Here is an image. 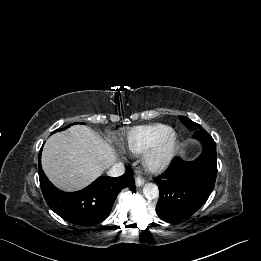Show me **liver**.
Wrapping results in <instances>:
<instances>
[{"instance_id": "liver-1", "label": "liver", "mask_w": 261, "mask_h": 261, "mask_svg": "<svg viewBox=\"0 0 261 261\" xmlns=\"http://www.w3.org/2000/svg\"><path fill=\"white\" fill-rule=\"evenodd\" d=\"M116 161L114 149L83 125L53 134L42 151V167L57 187L79 190L100 176Z\"/></svg>"}]
</instances>
